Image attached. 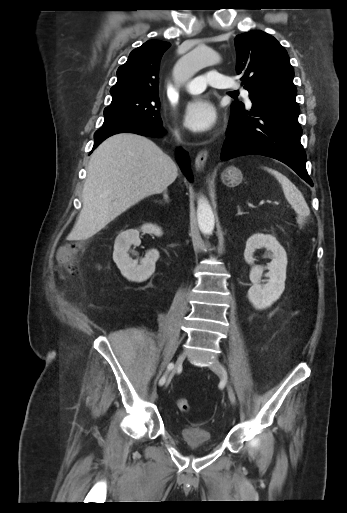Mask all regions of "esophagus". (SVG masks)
Wrapping results in <instances>:
<instances>
[{"label":"esophagus","mask_w":347,"mask_h":513,"mask_svg":"<svg viewBox=\"0 0 347 513\" xmlns=\"http://www.w3.org/2000/svg\"><path fill=\"white\" fill-rule=\"evenodd\" d=\"M208 157L207 150H201L195 158V167L198 171H201L206 163Z\"/></svg>","instance_id":"34e87169"}]
</instances>
